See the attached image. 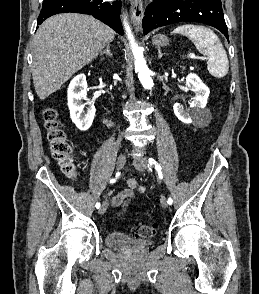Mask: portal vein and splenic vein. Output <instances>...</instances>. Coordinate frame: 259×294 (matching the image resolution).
<instances>
[{
    "label": "portal vein and splenic vein",
    "mask_w": 259,
    "mask_h": 294,
    "mask_svg": "<svg viewBox=\"0 0 259 294\" xmlns=\"http://www.w3.org/2000/svg\"><path fill=\"white\" fill-rule=\"evenodd\" d=\"M188 56L191 59H197V56L195 54H193V53H190Z\"/></svg>",
    "instance_id": "portal-vein-and-splenic-vein-1"
}]
</instances>
